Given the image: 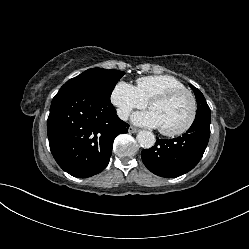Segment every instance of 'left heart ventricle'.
Listing matches in <instances>:
<instances>
[{
  "label": "left heart ventricle",
  "mask_w": 249,
  "mask_h": 249,
  "mask_svg": "<svg viewBox=\"0 0 249 249\" xmlns=\"http://www.w3.org/2000/svg\"><path fill=\"white\" fill-rule=\"evenodd\" d=\"M151 111L156 115L160 128L176 130L189 119L191 103L187 96L182 95L168 102L153 105Z\"/></svg>",
  "instance_id": "obj_1"
}]
</instances>
